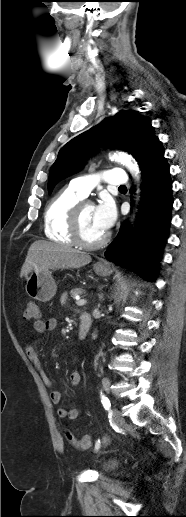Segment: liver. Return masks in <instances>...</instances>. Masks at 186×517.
Wrapping results in <instances>:
<instances>
[{"instance_id":"liver-1","label":"liver","mask_w":186,"mask_h":517,"mask_svg":"<svg viewBox=\"0 0 186 517\" xmlns=\"http://www.w3.org/2000/svg\"><path fill=\"white\" fill-rule=\"evenodd\" d=\"M91 256L69 246L46 241L34 242L21 268L20 276L32 271L40 273L49 269L80 268L91 262Z\"/></svg>"}]
</instances>
